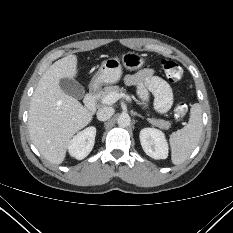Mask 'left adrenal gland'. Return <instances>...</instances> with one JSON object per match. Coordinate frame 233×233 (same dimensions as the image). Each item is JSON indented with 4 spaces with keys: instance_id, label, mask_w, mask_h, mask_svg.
I'll list each match as a JSON object with an SVG mask.
<instances>
[{
    "instance_id": "obj_1",
    "label": "left adrenal gland",
    "mask_w": 233,
    "mask_h": 233,
    "mask_svg": "<svg viewBox=\"0 0 233 233\" xmlns=\"http://www.w3.org/2000/svg\"><path fill=\"white\" fill-rule=\"evenodd\" d=\"M133 115H137L138 117L143 118L142 115H140V114H138V113H136V112H134Z\"/></svg>"
}]
</instances>
